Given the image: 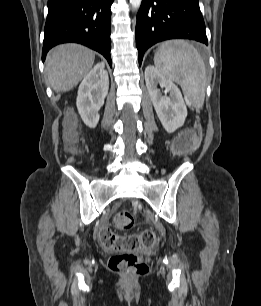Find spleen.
Returning <instances> with one entry per match:
<instances>
[{
    "instance_id": "spleen-1",
    "label": "spleen",
    "mask_w": 261,
    "mask_h": 306,
    "mask_svg": "<svg viewBox=\"0 0 261 306\" xmlns=\"http://www.w3.org/2000/svg\"><path fill=\"white\" fill-rule=\"evenodd\" d=\"M154 63L167 79L181 86L187 104L196 109L203 107L205 65L193 45L183 40L164 42L155 52Z\"/></svg>"
}]
</instances>
